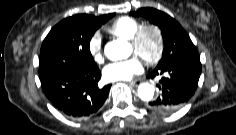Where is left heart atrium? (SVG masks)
<instances>
[{
    "label": "left heart atrium",
    "mask_w": 236,
    "mask_h": 135,
    "mask_svg": "<svg viewBox=\"0 0 236 135\" xmlns=\"http://www.w3.org/2000/svg\"><path fill=\"white\" fill-rule=\"evenodd\" d=\"M142 63L138 57H132L123 61H116L108 64L103 71L104 77L108 80H129L134 75L141 73Z\"/></svg>",
    "instance_id": "obj_1"
}]
</instances>
